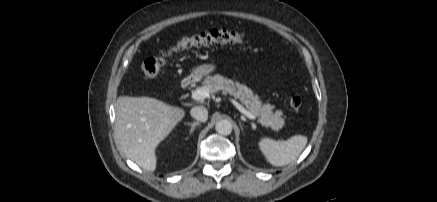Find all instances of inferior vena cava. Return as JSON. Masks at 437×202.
I'll return each instance as SVG.
<instances>
[{"label": "inferior vena cava", "mask_w": 437, "mask_h": 202, "mask_svg": "<svg viewBox=\"0 0 437 202\" xmlns=\"http://www.w3.org/2000/svg\"><path fill=\"white\" fill-rule=\"evenodd\" d=\"M190 114L194 119L201 122H206L208 119V111L204 106L193 107Z\"/></svg>", "instance_id": "1"}]
</instances>
